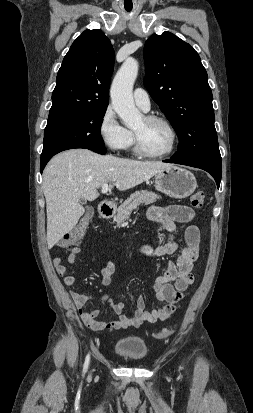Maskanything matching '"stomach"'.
Wrapping results in <instances>:
<instances>
[{
    "label": "stomach",
    "instance_id": "stomach-1",
    "mask_svg": "<svg viewBox=\"0 0 253 413\" xmlns=\"http://www.w3.org/2000/svg\"><path fill=\"white\" fill-rule=\"evenodd\" d=\"M155 187L171 198L183 199L195 191L197 182L190 171L178 166H171L155 175Z\"/></svg>",
    "mask_w": 253,
    "mask_h": 413
}]
</instances>
